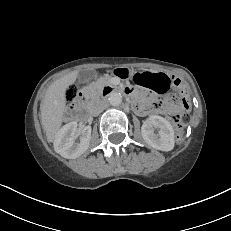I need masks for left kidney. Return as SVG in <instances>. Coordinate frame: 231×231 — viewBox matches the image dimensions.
<instances>
[{
  "label": "left kidney",
  "mask_w": 231,
  "mask_h": 231,
  "mask_svg": "<svg viewBox=\"0 0 231 231\" xmlns=\"http://www.w3.org/2000/svg\"><path fill=\"white\" fill-rule=\"evenodd\" d=\"M157 128L158 134L154 133ZM141 134L145 142L161 151H171L174 148V129L170 122L157 115H151L142 125Z\"/></svg>",
  "instance_id": "left-kidney-1"
}]
</instances>
